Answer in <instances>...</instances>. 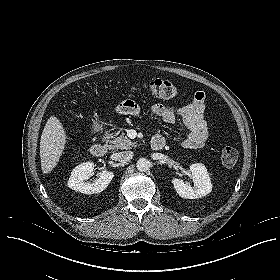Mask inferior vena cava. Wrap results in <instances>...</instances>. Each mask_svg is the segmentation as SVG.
Segmentation results:
<instances>
[{
  "mask_svg": "<svg viewBox=\"0 0 280 280\" xmlns=\"http://www.w3.org/2000/svg\"><path fill=\"white\" fill-rule=\"evenodd\" d=\"M133 152L132 151H123L119 152L117 154V160L121 162H127L133 158Z\"/></svg>",
  "mask_w": 280,
  "mask_h": 280,
  "instance_id": "obj_1",
  "label": "inferior vena cava"
}]
</instances>
